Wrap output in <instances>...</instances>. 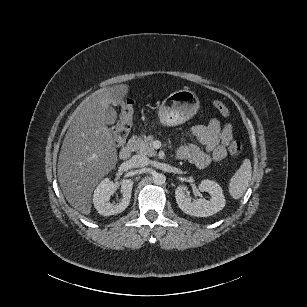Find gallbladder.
<instances>
[{"instance_id": "bac80fb5", "label": "gallbladder", "mask_w": 307, "mask_h": 307, "mask_svg": "<svg viewBox=\"0 0 307 307\" xmlns=\"http://www.w3.org/2000/svg\"><path fill=\"white\" fill-rule=\"evenodd\" d=\"M104 111L106 113L105 120L107 121V126L115 127L116 126L115 120L117 119V112L110 105L105 106Z\"/></svg>"}]
</instances>
